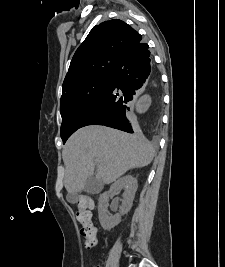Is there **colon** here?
Returning <instances> with one entry per match:
<instances>
[{
  "instance_id": "1",
  "label": "colon",
  "mask_w": 225,
  "mask_h": 267,
  "mask_svg": "<svg viewBox=\"0 0 225 267\" xmlns=\"http://www.w3.org/2000/svg\"><path fill=\"white\" fill-rule=\"evenodd\" d=\"M92 199L88 196L81 197L77 202V219L81 223V235L84 239L85 246L92 248L96 244L97 229L92 222L91 208Z\"/></svg>"
}]
</instances>
